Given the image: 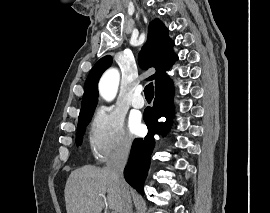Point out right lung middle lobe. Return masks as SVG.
<instances>
[{"instance_id":"dd1d6c3e","label":"right lung middle lobe","mask_w":270,"mask_h":213,"mask_svg":"<svg viewBox=\"0 0 270 213\" xmlns=\"http://www.w3.org/2000/svg\"><path fill=\"white\" fill-rule=\"evenodd\" d=\"M93 113H89L87 115H84L82 117L78 118V126L77 129H82L81 131L77 132L76 134V143L81 144L82 142V134L84 132V128L87 126V124L90 122L91 116Z\"/></svg>"}]
</instances>
